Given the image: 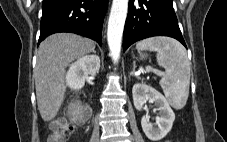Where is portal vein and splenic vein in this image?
<instances>
[{"label": "portal vein and splenic vein", "instance_id": "obj_1", "mask_svg": "<svg viewBox=\"0 0 227 142\" xmlns=\"http://www.w3.org/2000/svg\"><path fill=\"white\" fill-rule=\"evenodd\" d=\"M150 71H153L154 73H156L158 75H161L162 74V72H160L158 70L152 69L151 67H147L146 68V72H150Z\"/></svg>", "mask_w": 227, "mask_h": 142}]
</instances>
